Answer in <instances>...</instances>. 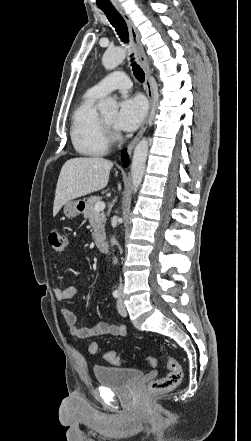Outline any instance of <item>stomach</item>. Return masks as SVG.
<instances>
[{"label":"stomach","instance_id":"0dacf381","mask_svg":"<svg viewBox=\"0 0 251 441\" xmlns=\"http://www.w3.org/2000/svg\"><path fill=\"white\" fill-rule=\"evenodd\" d=\"M86 203L83 200L68 201L64 204L63 212L67 218H73L81 214Z\"/></svg>","mask_w":251,"mask_h":441}]
</instances>
